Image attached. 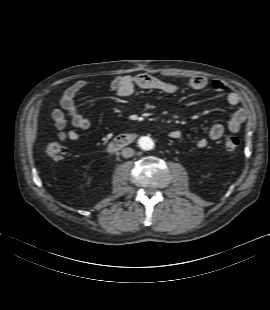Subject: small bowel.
<instances>
[{
	"instance_id": "c3829d8e",
	"label": "small bowel",
	"mask_w": 270,
	"mask_h": 310,
	"mask_svg": "<svg viewBox=\"0 0 270 310\" xmlns=\"http://www.w3.org/2000/svg\"><path fill=\"white\" fill-rule=\"evenodd\" d=\"M209 85L207 78L203 76H194L188 83L187 87L191 90H202ZM91 84L88 81H78L70 86L63 94L60 100V107L55 108L52 112V119L57 129V137L61 141H78L79 133L74 129H66L67 120L66 116L70 119L72 125L79 130H86L90 126L88 118L80 114L75 105L76 96L83 90L89 88ZM211 88L217 92H223L226 90V85L220 80H214L210 84ZM109 89L114 91L118 97L126 98L131 96L136 88H142L147 90H158L163 93L173 94L180 90L177 84L161 80L155 76L147 73L126 74L115 76L108 85ZM227 103L235 107L232 112L226 128L231 133H237L240 131L242 124L247 119V111L241 107L240 95L235 91L228 92L226 96ZM225 132V126L223 124H214L208 131V136L211 140H219L222 138ZM169 136L172 139L178 140L182 137V133L179 130H171ZM207 145V139L200 138L197 141L199 148H204Z\"/></svg>"
}]
</instances>
